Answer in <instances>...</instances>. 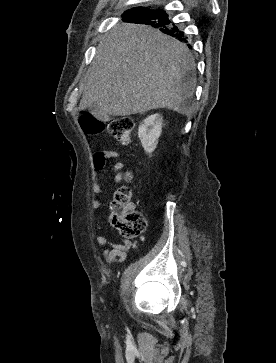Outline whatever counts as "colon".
I'll use <instances>...</instances> for the list:
<instances>
[{
    "mask_svg": "<svg viewBox=\"0 0 276 363\" xmlns=\"http://www.w3.org/2000/svg\"><path fill=\"white\" fill-rule=\"evenodd\" d=\"M82 129L90 134L97 135L109 132L117 143L128 145L135 122L131 117L122 116L109 121H101L90 114H83L80 117ZM125 179L131 178V173L124 175ZM131 191L127 187L119 188L110 205L109 219L112 226L126 238L139 236L145 229L146 221L144 216L134 210L130 205Z\"/></svg>",
    "mask_w": 276,
    "mask_h": 363,
    "instance_id": "1",
    "label": "colon"
}]
</instances>
